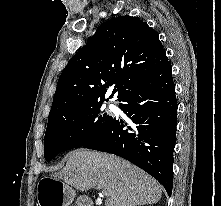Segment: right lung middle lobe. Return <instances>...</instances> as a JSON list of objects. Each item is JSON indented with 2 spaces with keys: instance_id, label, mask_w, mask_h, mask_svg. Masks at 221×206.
Segmentation results:
<instances>
[{
  "instance_id": "obj_1",
  "label": "right lung middle lobe",
  "mask_w": 221,
  "mask_h": 206,
  "mask_svg": "<svg viewBox=\"0 0 221 206\" xmlns=\"http://www.w3.org/2000/svg\"><path fill=\"white\" fill-rule=\"evenodd\" d=\"M102 102L59 110L48 117L44 139V158L50 161L59 153L81 147L113 117L101 113Z\"/></svg>"
}]
</instances>
